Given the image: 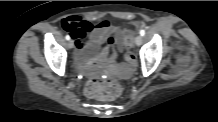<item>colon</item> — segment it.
Masks as SVG:
<instances>
[{
    "label": "colon",
    "instance_id": "colon-1",
    "mask_svg": "<svg viewBox=\"0 0 218 122\" xmlns=\"http://www.w3.org/2000/svg\"><path fill=\"white\" fill-rule=\"evenodd\" d=\"M134 25H130L127 30L125 38L126 54L125 59L132 66L135 67L136 57L131 52L134 41L133 34ZM106 44L101 45V50L97 55H91L84 60L82 64H78V76L80 78L90 77L92 71L97 70L101 64H111L118 61V42L115 32L105 33ZM123 86L116 80L99 81L95 78L90 79L85 87V93L90 98L100 100H113L121 95Z\"/></svg>",
    "mask_w": 218,
    "mask_h": 122
}]
</instances>
